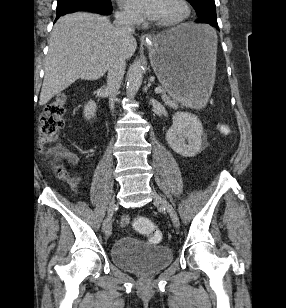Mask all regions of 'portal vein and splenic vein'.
<instances>
[{"instance_id": "obj_1", "label": "portal vein and splenic vein", "mask_w": 286, "mask_h": 308, "mask_svg": "<svg viewBox=\"0 0 286 308\" xmlns=\"http://www.w3.org/2000/svg\"><path fill=\"white\" fill-rule=\"evenodd\" d=\"M96 57L94 56L93 59H95ZM163 91V89L161 87H156L155 88V93H161Z\"/></svg>"}]
</instances>
